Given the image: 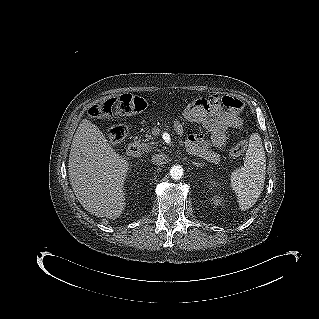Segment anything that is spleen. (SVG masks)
Wrapping results in <instances>:
<instances>
[{
    "label": "spleen",
    "instance_id": "1",
    "mask_svg": "<svg viewBox=\"0 0 319 319\" xmlns=\"http://www.w3.org/2000/svg\"><path fill=\"white\" fill-rule=\"evenodd\" d=\"M265 174L266 157L261 137L253 133L249 139L244 166L231 175L230 185L238 196L241 210H247L257 201L264 187Z\"/></svg>",
    "mask_w": 319,
    "mask_h": 319
}]
</instances>
